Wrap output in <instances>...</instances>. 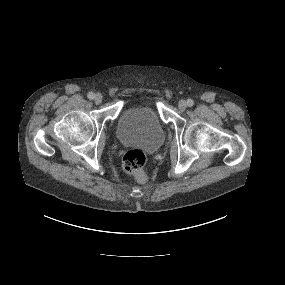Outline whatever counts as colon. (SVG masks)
Segmentation results:
<instances>
[{"label": "colon", "instance_id": "5ec220e1", "mask_svg": "<svg viewBox=\"0 0 285 285\" xmlns=\"http://www.w3.org/2000/svg\"><path fill=\"white\" fill-rule=\"evenodd\" d=\"M146 154L140 149H131L123 156V168L126 173L132 175L138 182L147 181L144 171Z\"/></svg>", "mask_w": 285, "mask_h": 285}]
</instances>
